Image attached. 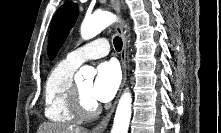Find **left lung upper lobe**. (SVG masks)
<instances>
[{"instance_id": "left-lung-upper-lobe-1", "label": "left lung upper lobe", "mask_w": 221, "mask_h": 133, "mask_svg": "<svg viewBox=\"0 0 221 133\" xmlns=\"http://www.w3.org/2000/svg\"><path fill=\"white\" fill-rule=\"evenodd\" d=\"M77 16L78 8L72 1L64 3L57 11L51 25L48 42V55L51 60L56 57L59 49L65 42Z\"/></svg>"}]
</instances>
